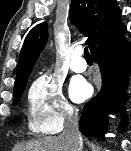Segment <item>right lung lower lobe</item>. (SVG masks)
I'll list each match as a JSON object with an SVG mask.
<instances>
[{
    "label": "right lung lower lobe",
    "mask_w": 131,
    "mask_h": 151,
    "mask_svg": "<svg viewBox=\"0 0 131 151\" xmlns=\"http://www.w3.org/2000/svg\"><path fill=\"white\" fill-rule=\"evenodd\" d=\"M126 29L91 52L98 63L101 76V90L85 104L79 129L86 137L103 139L107 128V115L113 114L127 101L126 89L131 74V43L124 33ZM125 124L127 118L122 117ZM123 126H121V131Z\"/></svg>",
    "instance_id": "obj_1"
}]
</instances>
